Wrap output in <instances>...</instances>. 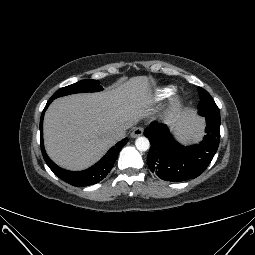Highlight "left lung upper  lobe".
Returning a JSON list of instances; mask_svg holds the SVG:
<instances>
[{
    "label": "left lung upper lobe",
    "instance_id": "1",
    "mask_svg": "<svg viewBox=\"0 0 255 255\" xmlns=\"http://www.w3.org/2000/svg\"><path fill=\"white\" fill-rule=\"evenodd\" d=\"M198 92L200 95V102L198 105L199 114L202 116L209 114L219 115V109L210 94L201 87L198 88Z\"/></svg>",
    "mask_w": 255,
    "mask_h": 255
}]
</instances>
